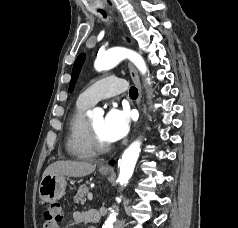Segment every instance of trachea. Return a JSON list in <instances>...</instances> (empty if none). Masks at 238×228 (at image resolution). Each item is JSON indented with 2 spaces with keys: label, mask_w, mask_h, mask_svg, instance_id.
<instances>
[{
  "label": "trachea",
  "mask_w": 238,
  "mask_h": 228,
  "mask_svg": "<svg viewBox=\"0 0 238 228\" xmlns=\"http://www.w3.org/2000/svg\"><path fill=\"white\" fill-rule=\"evenodd\" d=\"M104 17H106V13L102 11ZM129 95L132 99H136L138 97V91L135 87H131L129 90Z\"/></svg>",
  "instance_id": "trachea-1"
}]
</instances>
